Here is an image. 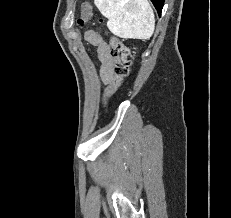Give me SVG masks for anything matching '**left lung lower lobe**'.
I'll return each instance as SVG.
<instances>
[{"label":"left lung lower lobe","instance_id":"1","mask_svg":"<svg viewBox=\"0 0 231 218\" xmlns=\"http://www.w3.org/2000/svg\"><path fill=\"white\" fill-rule=\"evenodd\" d=\"M154 4L155 8L157 9V12L159 15H161V11L164 5V0H151Z\"/></svg>","mask_w":231,"mask_h":218}]
</instances>
